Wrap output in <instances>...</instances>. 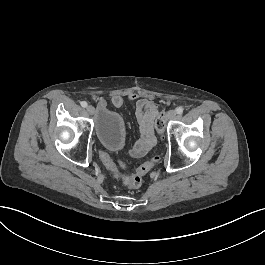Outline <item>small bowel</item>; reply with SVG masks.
Segmentation results:
<instances>
[{"mask_svg": "<svg viewBox=\"0 0 265 265\" xmlns=\"http://www.w3.org/2000/svg\"><path fill=\"white\" fill-rule=\"evenodd\" d=\"M126 99L136 102L137 120L143 133L142 141L131 151V155L133 157H142L146 154L147 150L153 146L155 141L153 134V121L157 112L156 106L154 102L147 97H139L136 93H129L124 96L119 92H113L111 95L112 105L116 108L122 107ZM103 164L112 172L117 170L116 163L109 156Z\"/></svg>", "mask_w": 265, "mask_h": 265, "instance_id": "obj_1", "label": "small bowel"}]
</instances>
